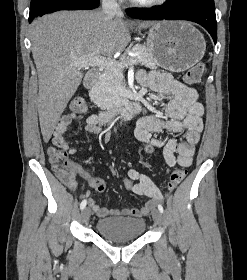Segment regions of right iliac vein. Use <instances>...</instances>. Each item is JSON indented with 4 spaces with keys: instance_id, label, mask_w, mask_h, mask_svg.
Here are the masks:
<instances>
[{
    "instance_id": "right-iliac-vein-1",
    "label": "right iliac vein",
    "mask_w": 247,
    "mask_h": 280,
    "mask_svg": "<svg viewBox=\"0 0 247 280\" xmlns=\"http://www.w3.org/2000/svg\"><path fill=\"white\" fill-rule=\"evenodd\" d=\"M91 211L89 208H85L83 209L82 213H81V219L83 222H87L89 217H90Z\"/></svg>"
}]
</instances>
